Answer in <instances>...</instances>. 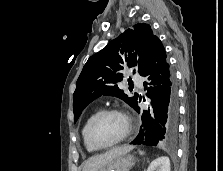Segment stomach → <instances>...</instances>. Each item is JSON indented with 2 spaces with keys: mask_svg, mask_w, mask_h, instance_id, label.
Masks as SVG:
<instances>
[{
  "mask_svg": "<svg viewBox=\"0 0 223 171\" xmlns=\"http://www.w3.org/2000/svg\"><path fill=\"white\" fill-rule=\"evenodd\" d=\"M134 164V157L130 154H121L114 158L99 171H129Z\"/></svg>",
  "mask_w": 223,
  "mask_h": 171,
  "instance_id": "1",
  "label": "stomach"
}]
</instances>
